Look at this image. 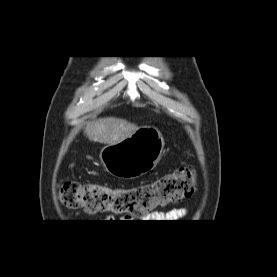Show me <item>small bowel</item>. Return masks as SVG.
<instances>
[{
    "label": "small bowel",
    "mask_w": 277,
    "mask_h": 277,
    "mask_svg": "<svg viewBox=\"0 0 277 277\" xmlns=\"http://www.w3.org/2000/svg\"><path fill=\"white\" fill-rule=\"evenodd\" d=\"M187 213L185 208H172L165 212H154L147 218L150 222H178Z\"/></svg>",
    "instance_id": "1"
}]
</instances>
